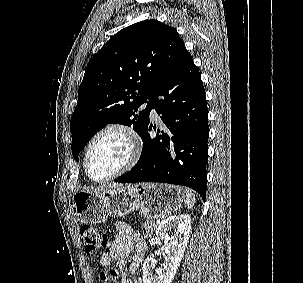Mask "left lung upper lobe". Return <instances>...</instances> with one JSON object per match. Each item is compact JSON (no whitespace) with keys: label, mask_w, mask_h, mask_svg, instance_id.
<instances>
[{"label":"left lung upper lobe","mask_w":303,"mask_h":283,"mask_svg":"<svg viewBox=\"0 0 303 283\" xmlns=\"http://www.w3.org/2000/svg\"><path fill=\"white\" fill-rule=\"evenodd\" d=\"M185 48L177 30L145 20L120 30L89 61L71 118L72 155L108 123L133 125L141 135L149 102ZM147 103L144 110L138 108Z\"/></svg>","instance_id":"5c2ea615"}]
</instances>
